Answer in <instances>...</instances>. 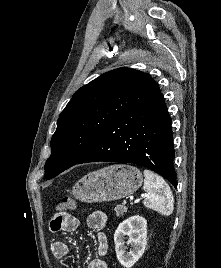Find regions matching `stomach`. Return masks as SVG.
Wrapping results in <instances>:
<instances>
[{"mask_svg":"<svg viewBox=\"0 0 221 268\" xmlns=\"http://www.w3.org/2000/svg\"><path fill=\"white\" fill-rule=\"evenodd\" d=\"M142 181V173L138 168L116 164L82 177L73 186L72 194L86 203L113 201L133 194Z\"/></svg>","mask_w":221,"mask_h":268,"instance_id":"0dacf381","label":"stomach"}]
</instances>
